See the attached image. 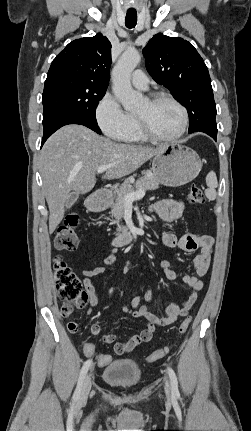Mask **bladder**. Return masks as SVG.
<instances>
[{
	"instance_id": "bladder-1",
	"label": "bladder",
	"mask_w": 251,
	"mask_h": 431,
	"mask_svg": "<svg viewBox=\"0 0 251 431\" xmlns=\"http://www.w3.org/2000/svg\"><path fill=\"white\" fill-rule=\"evenodd\" d=\"M141 368L131 359H120L111 362L102 373L103 380L115 387L130 389L141 379Z\"/></svg>"
}]
</instances>
